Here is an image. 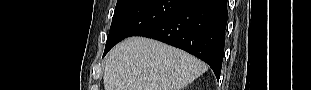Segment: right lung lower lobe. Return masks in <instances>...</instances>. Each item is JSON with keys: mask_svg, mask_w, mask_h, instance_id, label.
<instances>
[{"mask_svg": "<svg viewBox=\"0 0 311 90\" xmlns=\"http://www.w3.org/2000/svg\"><path fill=\"white\" fill-rule=\"evenodd\" d=\"M227 0H185L176 10L136 36L183 49L206 62L220 78Z\"/></svg>", "mask_w": 311, "mask_h": 90, "instance_id": "98d812e1", "label": "right lung lower lobe"}]
</instances>
